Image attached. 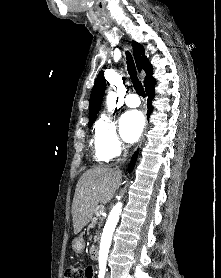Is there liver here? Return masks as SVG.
Listing matches in <instances>:
<instances>
[{
	"label": "liver",
	"mask_w": 221,
	"mask_h": 278,
	"mask_svg": "<svg viewBox=\"0 0 221 278\" xmlns=\"http://www.w3.org/2000/svg\"><path fill=\"white\" fill-rule=\"evenodd\" d=\"M121 182V172L109 167H96L83 173L76 185L72 203L75 234L90 222L99 202L107 203L113 198Z\"/></svg>",
	"instance_id": "6515ba94"
}]
</instances>
